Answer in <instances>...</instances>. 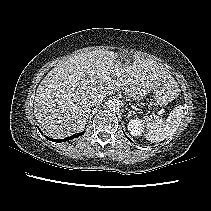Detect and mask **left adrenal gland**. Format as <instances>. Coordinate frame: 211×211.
<instances>
[{"instance_id":"a2214340","label":"left adrenal gland","mask_w":211,"mask_h":211,"mask_svg":"<svg viewBox=\"0 0 211 211\" xmlns=\"http://www.w3.org/2000/svg\"><path fill=\"white\" fill-rule=\"evenodd\" d=\"M127 110L129 111L127 113V118H129L131 115H134L135 114V112L133 110L129 109V108H127Z\"/></svg>"}]
</instances>
